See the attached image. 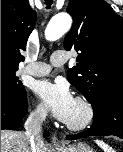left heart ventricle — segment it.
<instances>
[{"label":"left heart ventricle","instance_id":"b2bd125f","mask_svg":"<svg viewBox=\"0 0 123 152\" xmlns=\"http://www.w3.org/2000/svg\"><path fill=\"white\" fill-rule=\"evenodd\" d=\"M84 116V110L76 101L74 103L72 112L70 114V117L67 121L77 122L80 121Z\"/></svg>","mask_w":123,"mask_h":152}]
</instances>
